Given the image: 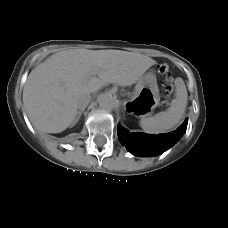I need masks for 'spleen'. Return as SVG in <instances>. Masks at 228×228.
<instances>
[{
	"label": "spleen",
	"instance_id": "obj_1",
	"mask_svg": "<svg viewBox=\"0 0 228 228\" xmlns=\"http://www.w3.org/2000/svg\"><path fill=\"white\" fill-rule=\"evenodd\" d=\"M188 102V93L183 82L176 86V98L170 107L154 116H143L140 121L142 129L147 133L158 134L173 128L182 119Z\"/></svg>",
	"mask_w": 228,
	"mask_h": 228
}]
</instances>
